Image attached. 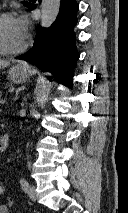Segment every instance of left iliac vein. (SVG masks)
Here are the masks:
<instances>
[{
    "label": "left iliac vein",
    "instance_id": "4c4485c4",
    "mask_svg": "<svg viewBox=\"0 0 128 213\" xmlns=\"http://www.w3.org/2000/svg\"><path fill=\"white\" fill-rule=\"evenodd\" d=\"M27 193H28V196L30 197V199H32L33 201H36L37 193H36L35 187L33 185L29 186Z\"/></svg>",
    "mask_w": 128,
    "mask_h": 213
}]
</instances>
